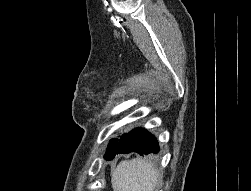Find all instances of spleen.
<instances>
[{"instance_id":"spleen-1","label":"spleen","mask_w":251,"mask_h":191,"mask_svg":"<svg viewBox=\"0 0 251 191\" xmlns=\"http://www.w3.org/2000/svg\"><path fill=\"white\" fill-rule=\"evenodd\" d=\"M111 183L113 191H154L159 175L151 161L142 157L122 159L115 167Z\"/></svg>"}]
</instances>
